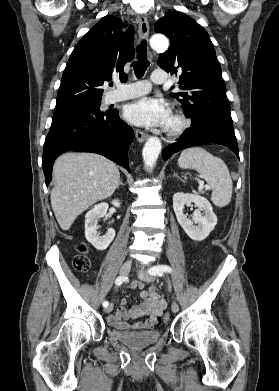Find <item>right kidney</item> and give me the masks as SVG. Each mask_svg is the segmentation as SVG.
<instances>
[{
    "label": "right kidney",
    "instance_id": "1",
    "mask_svg": "<svg viewBox=\"0 0 279 391\" xmlns=\"http://www.w3.org/2000/svg\"><path fill=\"white\" fill-rule=\"evenodd\" d=\"M112 205L119 208L121 203L119 200L115 199L112 201ZM108 208V203H99L88 211L85 216V237L97 250H105L113 241L116 234L115 230L112 228L108 229L104 236H101L100 233H98V220L106 215Z\"/></svg>",
    "mask_w": 279,
    "mask_h": 391
}]
</instances>
